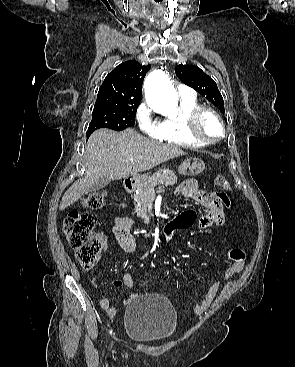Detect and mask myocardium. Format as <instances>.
<instances>
[{
    "label": "myocardium",
    "mask_w": 295,
    "mask_h": 367,
    "mask_svg": "<svg viewBox=\"0 0 295 367\" xmlns=\"http://www.w3.org/2000/svg\"><path fill=\"white\" fill-rule=\"evenodd\" d=\"M209 113L215 117L221 127V133L218 137L210 139L205 137L200 129V124L203 116ZM186 127L190 136L196 141L204 145H212L222 140L226 134V126L221 115L212 107L199 105L194 108L186 118Z\"/></svg>",
    "instance_id": "myocardium-1"
}]
</instances>
